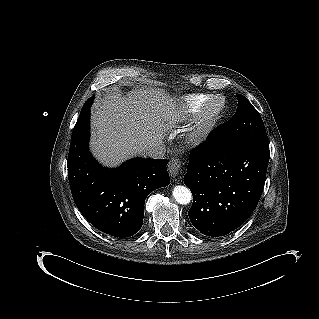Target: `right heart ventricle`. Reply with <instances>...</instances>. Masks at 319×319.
Masks as SVG:
<instances>
[{
  "instance_id": "1",
  "label": "right heart ventricle",
  "mask_w": 319,
  "mask_h": 319,
  "mask_svg": "<svg viewBox=\"0 0 319 319\" xmlns=\"http://www.w3.org/2000/svg\"><path fill=\"white\" fill-rule=\"evenodd\" d=\"M209 97H210V95L206 94V93H189V94H185L181 98L182 110L187 115H193L201 108V106L204 104V102Z\"/></svg>"
}]
</instances>
